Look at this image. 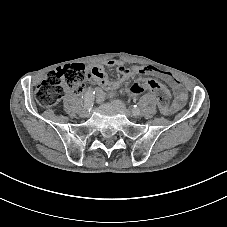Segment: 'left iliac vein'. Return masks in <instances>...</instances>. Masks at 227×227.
Returning <instances> with one entry per match:
<instances>
[{"label": "left iliac vein", "mask_w": 227, "mask_h": 227, "mask_svg": "<svg viewBox=\"0 0 227 227\" xmlns=\"http://www.w3.org/2000/svg\"><path fill=\"white\" fill-rule=\"evenodd\" d=\"M113 103H115L119 108H121L127 115L133 114L134 116H137V111L131 112L121 101L115 100L113 101Z\"/></svg>", "instance_id": "4c4485c4"}]
</instances>
